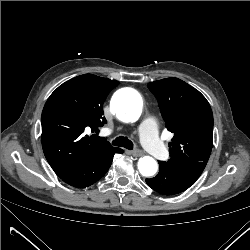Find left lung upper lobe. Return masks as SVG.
I'll return each instance as SVG.
<instances>
[{"mask_svg": "<svg viewBox=\"0 0 250 250\" xmlns=\"http://www.w3.org/2000/svg\"><path fill=\"white\" fill-rule=\"evenodd\" d=\"M158 100L167 129L174 133L170 164L208 162L213 145V114L206 98L178 78L148 84Z\"/></svg>", "mask_w": 250, "mask_h": 250, "instance_id": "obj_1", "label": "left lung upper lobe"}]
</instances>
